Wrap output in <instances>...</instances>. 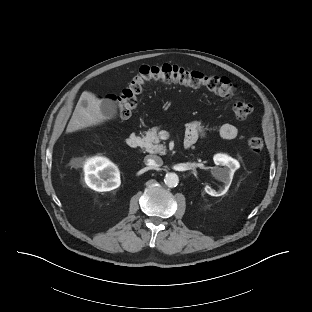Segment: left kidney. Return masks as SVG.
Here are the masks:
<instances>
[{
	"mask_svg": "<svg viewBox=\"0 0 312 312\" xmlns=\"http://www.w3.org/2000/svg\"><path fill=\"white\" fill-rule=\"evenodd\" d=\"M216 167L213 169V176L224 183V189L216 191L209 186H205V192L211 196L224 195L233 179L234 172L240 167L237 160L225 154H216L213 157ZM223 166V167H219Z\"/></svg>",
	"mask_w": 312,
	"mask_h": 312,
	"instance_id": "5707ae66",
	"label": "left kidney"
}]
</instances>
